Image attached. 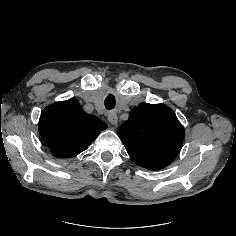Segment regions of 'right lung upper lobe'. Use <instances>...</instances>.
<instances>
[{"instance_id":"cb5924a9","label":"right lung upper lobe","mask_w":236,"mask_h":236,"mask_svg":"<svg viewBox=\"0 0 236 236\" xmlns=\"http://www.w3.org/2000/svg\"><path fill=\"white\" fill-rule=\"evenodd\" d=\"M107 125L70 99L46 107L39 120L44 144L59 158L75 157L87 149Z\"/></svg>"}]
</instances>
